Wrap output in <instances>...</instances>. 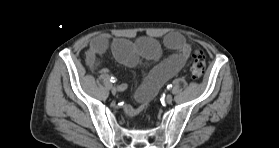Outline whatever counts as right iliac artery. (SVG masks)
<instances>
[{
  "instance_id": "obj_1",
  "label": "right iliac artery",
  "mask_w": 279,
  "mask_h": 148,
  "mask_svg": "<svg viewBox=\"0 0 279 148\" xmlns=\"http://www.w3.org/2000/svg\"><path fill=\"white\" fill-rule=\"evenodd\" d=\"M110 81H111L112 83H115V82L117 81V79H116L115 77H111V78H110ZM126 88H127L126 86H123L120 90L123 91V90H125Z\"/></svg>"
}]
</instances>
